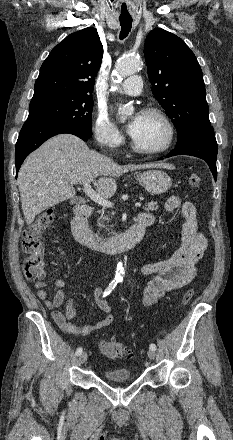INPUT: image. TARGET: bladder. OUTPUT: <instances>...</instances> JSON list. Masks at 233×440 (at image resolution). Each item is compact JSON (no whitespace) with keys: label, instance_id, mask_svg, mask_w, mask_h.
Listing matches in <instances>:
<instances>
[{"label":"bladder","instance_id":"obj_1","mask_svg":"<svg viewBox=\"0 0 233 440\" xmlns=\"http://www.w3.org/2000/svg\"><path fill=\"white\" fill-rule=\"evenodd\" d=\"M104 377L112 383H123L131 379L130 371L125 368L106 370Z\"/></svg>","mask_w":233,"mask_h":440}]
</instances>
